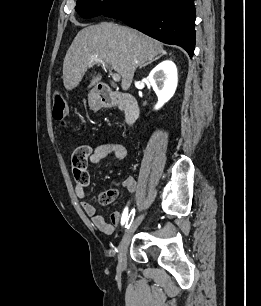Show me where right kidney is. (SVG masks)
I'll return each mask as SVG.
<instances>
[{"label": "right kidney", "instance_id": "ca27d5eb", "mask_svg": "<svg viewBox=\"0 0 261 306\" xmlns=\"http://www.w3.org/2000/svg\"><path fill=\"white\" fill-rule=\"evenodd\" d=\"M148 79L158 97L155 105V109L158 110L176 91L178 84L176 65L170 60L163 61L150 72Z\"/></svg>", "mask_w": 261, "mask_h": 306}]
</instances>
